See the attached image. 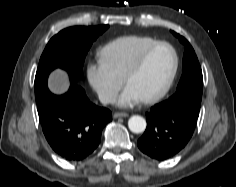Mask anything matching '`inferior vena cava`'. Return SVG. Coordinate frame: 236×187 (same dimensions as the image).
<instances>
[{
	"mask_svg": "<svg viewBox=\"0 0 236 187\" xmlns=\"http://www.w3.org/2000/svg\"><path fill=\"white\" fill-rule=\"evenodd\" d=\"M99 100L102 104H113L116 102V95L113 93H101L99 94Z\"/></svg>",
	"mask_w": 236,
	"mask_h": 187,
	"instance_id": "602c4592",
	"label": "inferior vena cava"
}]
</instances>
